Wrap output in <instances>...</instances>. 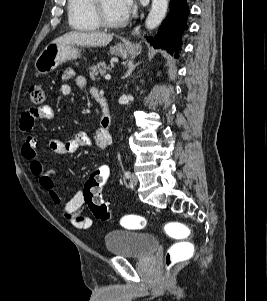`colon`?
Masks as SVG:
<instances>
[{
	"label": "colon",
	"instance_id": "5ec220e1",
	"mask_svg": "<svg viewBox=\"0 0 267 301\" xmlns=\"http://www.w3.org/2000/svg\"><path fill=\"white\" fill-rule=\"evenodd\" d=\"M30 99L35 105H42L45 101V94L40 86H32L29 90ZM111 176V169L108 165L98 167L89 177L84 186V201L91 210L95 218L108 221L111 219V211L102 196V189ZM123 224L131 229H143L147 221L140 215H127L123 218ZM166 233L175 239L183 241L172 244L165 255L167 270L175 268L177 265L190 259L194 253V246L188 241H184L189 235L190 230L182 222L173 221L165 226Z\"/></svg>",
	"mask_w": 267,
	"mask_h": 301
}]
</instances>
